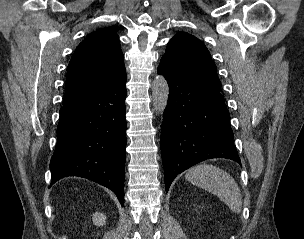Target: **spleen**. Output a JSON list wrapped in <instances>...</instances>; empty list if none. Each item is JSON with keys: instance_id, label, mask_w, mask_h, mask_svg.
Segmentation results:
<instances>
[{"instance_id": "3e777b00", "label": "spleen", "mask_w": 304, "mask_h": 239, "mask_svg": "<svg viewBox=\"0 0 304 239\" xmlns=\"http://www.w3.org/2000/svg\"><path fill=\"white\" fill-rule=\"evenodd\" d=\"M185 177L193 185L219 197L232 212H241L240 188L234 178L224 170L210 164H200L188 170Z\"/></svg>"}]
</instances>
